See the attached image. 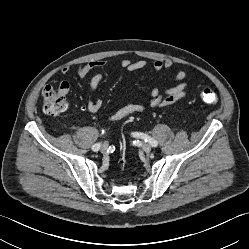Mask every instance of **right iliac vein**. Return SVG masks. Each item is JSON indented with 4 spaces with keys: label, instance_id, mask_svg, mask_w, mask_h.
Segmentation results:
<instances>
[{
    "label": "right iliac vein",
    "instance_id": "obj_1",
    "mask_svg": "<svg viewBox=\"0 0 249 249\" xmlns=\"http://www.w3.org/2000/svg\"><path fill=\"white\" fill-rule=\"evenodd\" d=\"M108 149V144L107 143H103L101 146V151L105 152Z\"/></svg>",
    "mask_w": 249,
    "mask_h": 249
}]
</instances>
